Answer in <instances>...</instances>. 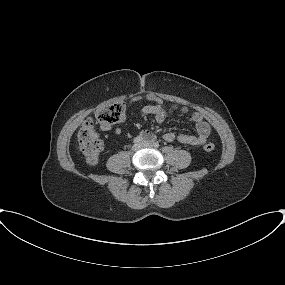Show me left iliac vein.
<instances>
[{
    "instance_id": "4c4485c4",
    "label": "left iliac vein",
    "mask_w": 285,
    "mask_h": 285,
    "mask_svg": "<svg viewBox=\"0 0 285 285\" xmlns=\"http://www.w3.org/2000/svg\"><path fill=\"white\" fill-rule=\"evenodd\" d=\"M142 146L143 147H153V144L149 141H143L142 142Z\"/></svg>"
}]
</instances>
